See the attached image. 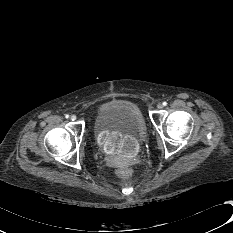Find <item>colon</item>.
Listing matches in <instances>:
<instances>
[{"mask_svg":"<svg viewBox=\"0 0 233 233\" xmlns=\"http://www.w3.org/2000/svg\"><path fill=\"white\" fill-rule=\"evenodd\" d=\"M117 176L121 179H129L132 172L128 168H120L117 170Z\"/></svg>","mask_w":233,"mask_h":233,"instance_id":"colon-1","label":"colon"}]
</instances>
